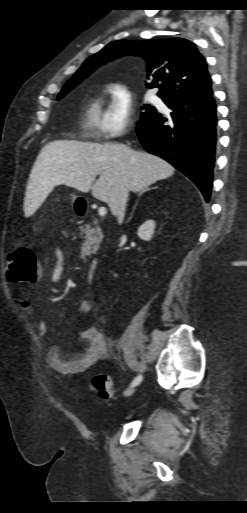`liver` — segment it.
I'll return each instance as SVG.
<instances>
[{
  "mask_svg": "<svg viewBox=\"0 0 247 513\" xmlns=\"http://www.w3.org/2000/svg\"><path fill=\"white\" fill-rule=\"evenodd\" d=\"M174 167L124 144L56 140L40 151L26 187L24 212L34 213L55 186L66 185L108 204L112 213L123 187L133 192L170 177ZM99 178L95 181L96 176Z\"/></svg>",
  "mask_w": 247,
  "mask_h": 513,
  "instance_id": "1",
  "label": "liver"
}]
</instances>
